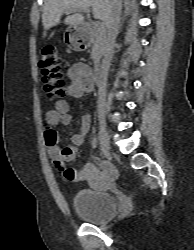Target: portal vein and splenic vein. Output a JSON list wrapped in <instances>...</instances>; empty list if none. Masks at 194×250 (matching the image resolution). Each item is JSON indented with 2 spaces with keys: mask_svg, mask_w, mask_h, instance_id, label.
<instances>
[{
  "mask_svg": "<svg viewBox=\"0 0 194 250\" xmlns=\"http://www.w3.org/2000/svg\"><path fill=\"white\" fill-rule=\"evenodd\" d=\"M80 11L85 12V13H90V9L89 8H85V9H82ZM75 12H79V11L78 10H69V11H66L65 13L66 14H71V13H75ZM98 28L99 29H103L104 28V26H103V24L101 22H98Z\"/></svg>",
  "mask_w": 194,
  "mask_h": 250,
  "instance_id": "1",
  "label": "portal vein and splenic vein"
}]
</instances>
